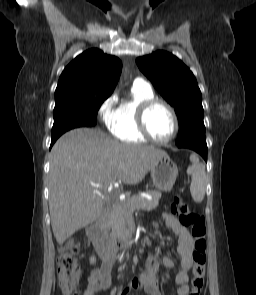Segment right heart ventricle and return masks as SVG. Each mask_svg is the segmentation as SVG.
Returning <instances> with one entry per match:
<instances>
[{
	"label": "right heart ventricle",
	"instance_id": "e07e8e85",
	"mask_svg": "<svg viewBox=\"0 0 256 295\" xmlns=\"http://www.w3.org/2000/svg\"><path fill=\"white\" fill-rule=\"evenodd\" d=\"M133 99L123 101L112 113L108 127L114 137L125 143H144L147 138L139 131L137 125V109L146 100L155 98L151 88H132Z\"/></svg>",
	"mask_w": 256,
	"mask_h": 295
}]
</instances>
